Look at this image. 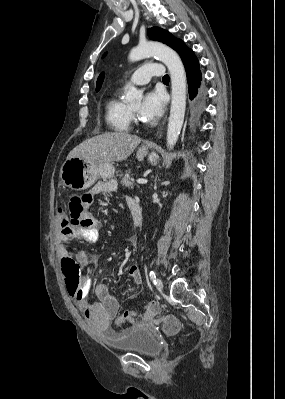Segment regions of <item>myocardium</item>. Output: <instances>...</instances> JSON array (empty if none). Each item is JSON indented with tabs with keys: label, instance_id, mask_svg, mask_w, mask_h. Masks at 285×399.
<instances>
[{
	"label": "myocardium",
	"instance_id": "myocardium-1",
	"mask_svg": "<svg viewBox=\"0 0 285 399\" xmlns=\"http://www.w3.org/2000/svg\"><path fill=\"white\" fill-rule=\"evenodd\" d=\"M130 111H131L132 119H134L136 122H140L141 120L138 117L137 112L132 109Z\"/></svg>",
	"mask_w": 285,
	"mask_h": 399
}]
</instances>
